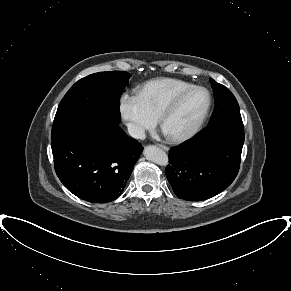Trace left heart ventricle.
Masks as SVG:
<instances>
[{
	"mask_svg": "<svg viewBox=\"0 0 291 291\" xmlns=\"http://www.w3.org/2000/svg\"><path fill=\"white\" fill-rule=\"evenodd\" d=\"M208 97L203 90L188 94L165 121L163 131L167 135H180L189 131L207 105Z\"/></svg>",
	"mask_w": 291,
	"mask_h": 291,
	"instance_id": "1",
	"label": "left heart ventricle"
}]
</instances>
